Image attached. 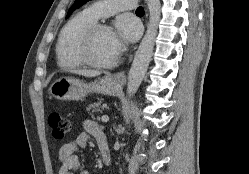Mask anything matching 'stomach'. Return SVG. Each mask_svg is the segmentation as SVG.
Masks as SVG:
<instances>
[{
	"mask_svg": "<svg viewBox=\"0 0 249 174\" xmlns=\"http://www.w3.org/2000/svg\"><path fill=\"white\" fill-rule=\"evenodd\" d=\"M121 89L112 75H107L93 83H85L79 79L63 77L55 80L50 86V93L59 100H80L90 93L115 95Z\"/></svg>",
	"mask_w": 249,
	"mask_h": 174,
	"instance_id": "0dacf381",
	"label": "stomach"
}]
</instances>
